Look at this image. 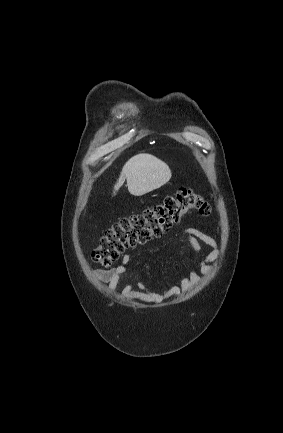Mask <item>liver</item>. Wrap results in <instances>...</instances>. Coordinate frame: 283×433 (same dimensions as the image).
<instances>
[{
    "label": "liver",
    "instance_id": "liver-1",
    "mask_svg": "<svg viewBox=\"0 0 283 433\" xmlns=\"http://www.w3.org/2000/svg\"><path fill=\"white\" fill-rule=\"evenodd\" d=\"M171 176L172 172L164 160H160L153 154L141 152V154L131 156L125 162L122 172L114 184V194L122 186L125 178L129 192L134 196H141V194H146V192L166 184Z\"/></svg>",
    "mask_w": 283,
    "mask_h": 433
}]
</instances>
